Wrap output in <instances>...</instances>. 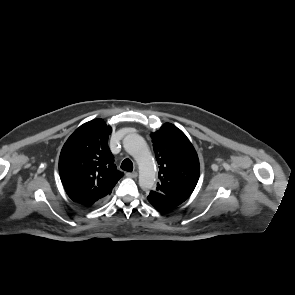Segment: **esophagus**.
I'll list each match as a JSON object with an SVG mask.
<instances>
[{
  "label": "esophagus",
  "mask_w": 295,
  "mask_h": 295,
  "mask_svg": "<svg viewBox=\"0 0 295 295\" xmlns=\"http://www.w3.org/2000/svg\"><path fill=\"white\" fill-rule=\"evenodd\" d=\"M137 172H128L126 173V176L129 178H136L137 177Z\"/></svg>",
  "instance_id": "esophagus-1"
}]
</instances>
